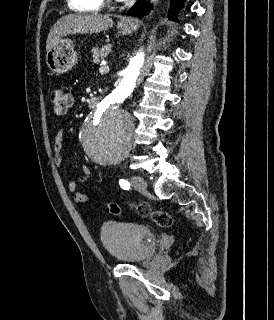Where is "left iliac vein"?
I'll return each instance as SVG.
<instances>
[{"mask_svg": "<svg viewBox=\"0 0 274 320\" xmlns=\"http://www.w3.org/2000/svg\"><path fill=\"white\" fill-rule=\"evenodd\" d=\"M131 184L138 191H146L147 189V183L141 176H132Z\"/></svg>", "mask_w": 274, "mask_h": 320, "instance_id": "obj_1", "label": "left iliac vein"}]
</instances>
